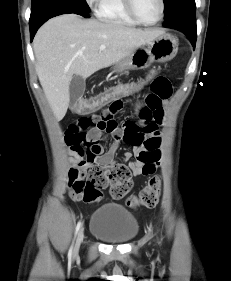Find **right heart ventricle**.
<instances>
[{"mask_svg": "<svg viewBox=\"0 0 231 281\" xmlns=\"http://www.w3.org/2000/svg\"><path fill=\"white\" fill-rule=\"evenodd\" d=\"M96 13L100 20L107 23L137 25V22L127 13L123 0H100Z\"/></svg>", "mask_w": 231, "mask_h": 281, "instance_id": "1", "label": "right heart ventricle"}]
</instances>
